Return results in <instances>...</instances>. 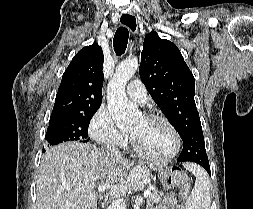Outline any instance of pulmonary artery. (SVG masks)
<instances>
[{"label": "pulmonary artery", "instance_id": "1", "mask_svg": "<svg viewBox=\"0 0 253 209\" xmlns=\"http://www.w3.org/2000/svg\"><path fill=\"white\" fill-rule=\"evenodd\" d=\"M126 92L130 99L138 103L143 104L147 100L146 88L138 79H135L128 84Z\"/></svg>", "mask_w": 253, "mask_h": 209}]
</instances>
